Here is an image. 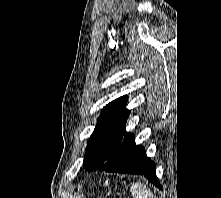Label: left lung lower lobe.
Instances as JSON below:
<instances>
[{
  "label": "left lung lower lobe",
  "mask_w": 221,
  "mask_h": 198,
  "mask_svg": "<svg viewBox=\"0 0 221 198\" xmlns=\"http://www.w3.org/2000/svg\"><path fill=\"white\" fill-rule=\"evenodd\" d=\"M155 168V163L146 156L143 146L136 145L135 136L132 135L110 156L99 171L144 175L162 189Z\"/></svg>",
  "instance_id": "1"
}]
</instances>
